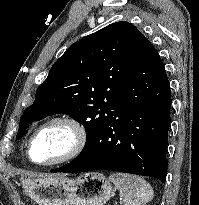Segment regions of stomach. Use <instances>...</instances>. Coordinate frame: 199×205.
I'll return each instance as SVG.
<instances>
[{
	"instance_id": "obj_1",
	"label": "stomach",
	"mask_w": 199,
	"mask_h": 205,
	"mask_svg": "<svg viewBox=\"0 0 199 205\" xmlns=\"http://www.w3.org/2000/svg\"><path fill=\"white\" fill-rule=\"evenodd\" d=\"M23 188L38 205H104L114 193L110 181L98 172L76 179L28 178L23 180Z\"/></svg>"
}]
</instances>
